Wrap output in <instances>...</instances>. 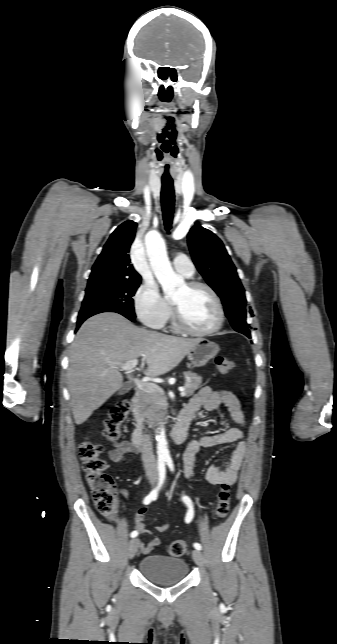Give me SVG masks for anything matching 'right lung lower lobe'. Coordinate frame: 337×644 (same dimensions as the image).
<instances>
[{"label": "right lung lower lobe", "instance_id": "1", "mask_svg": "<svg viewBox=\"0 0 337 644\" xmlns=\"http://www.w3.org/2000/svg\"><path fill=\"white\" fill-rule=\"evenodd\" d=\"M123 316H124V315H123ZM125 317H126V318H128L129 320H131V321L135 322V318H132V317H129V316H125ZM84 321H85V320L77 321V329L80 327V325H81Z\"/></svg>", "mask_w": 337, "mask_h": 644}]
</instances>
